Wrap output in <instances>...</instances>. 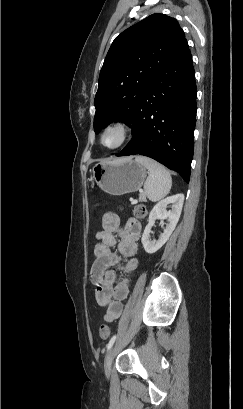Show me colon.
<instances>
[{
  "instance_id": "5ec220e1",
  "label": "colon",
  "mask_w": 243,
  "mask_h": 409,
  "mask_svg": "<svg viewBox=\"0 0 243 409\" xmlns=\"http://www.w3.org/2000/svg\"><path fill=\"white\" fill-rule=\"evenodd\" d=\"M133 214L137 218H140V219L145 218L147 215V207L144 204H136L133 206ZM109 335H110V330H109L108 325L102 324L99 327V337L105 341L108 339Z\"/></svg>"
}]
</instances>
